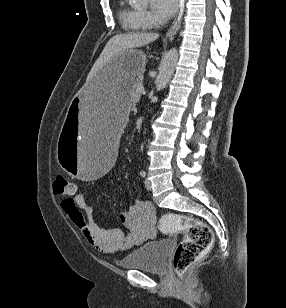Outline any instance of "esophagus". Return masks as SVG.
I'll use <instances>...</instances> for the list:
<instances>
[{
    "mask_svg": "<svg viewBox=\"0 0 286 308\" xmlns=\"http://www.w3.org/2000/svg\"><path fill=\"white\" fill-rule=\"evenodd\" d=\"M184 1L185 0H181L180 12H179L178 16L176 17V19L174 20L173 25L169 29L168 33L166 34V38H172L177 33V31L180 27V20H181L183 8H184Z\"/></svg>",
    "mask_w": 286,
    "mask_h": 308,
    "instance_id": "1",
    "label": "esophagus"
}]
</instances>
